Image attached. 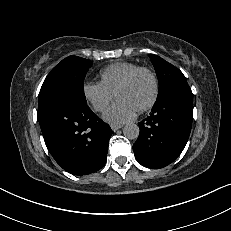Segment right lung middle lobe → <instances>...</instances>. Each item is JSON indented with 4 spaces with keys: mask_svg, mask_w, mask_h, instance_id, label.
<instances>
[{
    "mask_svg": "<svg viewBox=\"0 0 231 231\" xmlns=\"http://www.w3.org/2000/svg\"><path fill=\"white\" fill-rule=\"evenodd\" d=\"M92 62L69 56L57 64L46 77L39 93L38 110L61 98H72L86 103L84 78Z\"/></svg>",
    "mask_w": 231,
    "mask_h": 231,
    "instance_id": "right-lung-middle-lobe-1",
    "label": "right lung middle lobe"
}]
</instances>
